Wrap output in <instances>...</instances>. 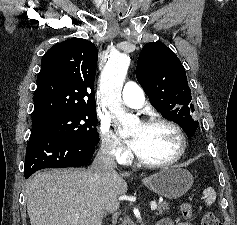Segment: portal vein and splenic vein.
<instances>
[{"mask_svg": "<svg viewBox=\"0 0 237 225\" xmlns=\"http://www.w3.org/2000/svg\"><path fill=\"white\" fill-rule=\"evenodd\" d=\"M150 206H151V210H153V211L157 209V203L154 202V201H152V202L150 203Z\"/></svg>", "mask_w": 237, "mask_h": 225, "instance_id": "1", "label": "portal vein and splenic vein"}]
</instances>
